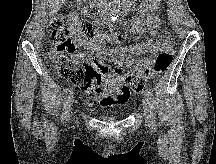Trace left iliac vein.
Instances as JSON below:
<instances>
[{
  "instance_id": "1",
  "label": "left iliac vein",
  "mask_w": 216,
  "mask_h": 164,
  "mask_svg": "<svg viewBox=\"0 0 216 164\" xmlns=\"http://www.w3.org/2000/svg\"><path fill=\"white\" fill-rule=\"evenodd\" d=\"M143 114L146 125L152 127V116L150 115V105L147 97H145L143 102Z\"/></svg>"
}]
</instances>
